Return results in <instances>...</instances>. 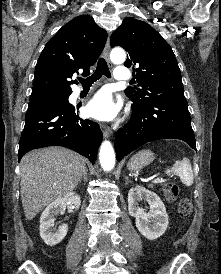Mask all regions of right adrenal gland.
I'll list each match as a JSON object with an SVG mask.
<instances>
[{
  "label": "right adrenal gland",
  "instance_id": "obj_1",
  "mask_svg": "<svg viewBox=\"0 0 221 274\" xmlns=\"http://www.w3.org/2000/svg\"><path fill=\"white\" fill-rule=\"evenodd\" d=\"M87 176H88V174H87V168L85 167L84 173H83L82 177L80 178L79 183H81L82 180H84L86 182L87 181Z\"/></svg>",
  "mask_w": 221,
  "mask_h": 274
}]
</instances>
